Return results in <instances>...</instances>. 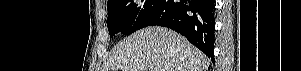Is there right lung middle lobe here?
Returning a JSON list of instances; mask_svg holds the SVG:
<instances>
[{"mask_svg": "<svg viewBox=\"0 0 301 71\" xmlns=\"http://www.w3.org/2000/svg\"><path fill=\"white\" fill-rule=\"evenodd\" d=\"M157 0H109L107 26L110 36L129 35L141 28Z\"/></svg>", "mask_w": 301, "mask_h": 71, "instance_id": "obj_1", "label": "right lung middle lobe"}]
</instances>
